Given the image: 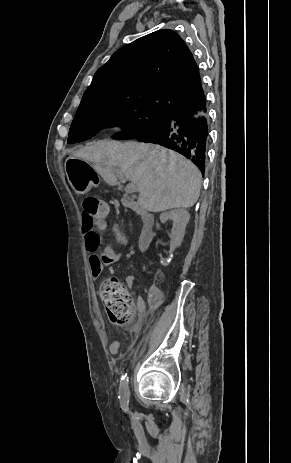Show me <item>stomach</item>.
Wrapping results in <instances>:
<instances>
[{
	"label": "stomach",
	"mask_w": 291,
	"mask_h": 463,
	"mask_svg": "<svg viewBox=\"0 0 291 463\" xmlns=\"http://www.w3.org/2000/svg\"><path fill=\"white\" fill-rule=\"evenodd\" d=\"M65 171L72 188L78 194H85L92 187L98 186V183L94 181L96 179L95 171L89 165L88 157H67Z\"/></svg>",
	"instance_id": "stomach-1"
}]
</instances>
